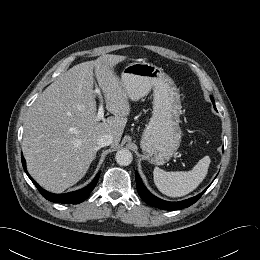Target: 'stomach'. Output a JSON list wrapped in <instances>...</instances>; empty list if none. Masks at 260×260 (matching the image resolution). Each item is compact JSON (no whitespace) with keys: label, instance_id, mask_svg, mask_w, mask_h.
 Instances as JSON below:
<instances>
[{"label":"stomach","instance_id":"0dacf381","mask_svg":"<svg viewBox=\"0 0 260 260\" xmlns=\"http://www.w3.org/2000/svg\"><path fill=\"white\" fill-rule=\"evenodd\" d=\"M121 83L132 101L147 96L153 90V114L140 145L150 163L165 164L181 143V100L177 86L162 68L148 62H133L126 66Z\"/></svg>","mask_w":260,"mask_h":260}]
</instances>
